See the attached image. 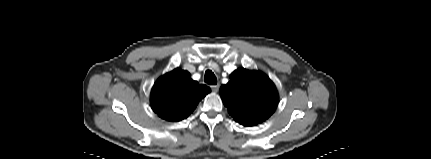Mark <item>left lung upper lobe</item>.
Listing matches in <instances>:
<instances>
[{"instance_id":"obj_1","label":"left lung upper lobe","mask_w":431,"mask_h":159,"mask_svg":"<svg viewBox=\"0 0 431 159\" xmlns=\"http://www.w3.org/2000/svg\"><path fill=\"white\" fill-rule=\"evenodd\" d=\"M220 88L228 113L240 124L253 126L268 119L278 105L274 83L260 71L237 69Z\"/></svg>"}]
</instances>
